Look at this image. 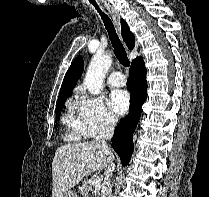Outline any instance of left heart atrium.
I'll return each mask as SVG.
<instances>
[{
    "label": "left heart atrium",
    "instance_id": "39dd6f15",
    "mask_svg": "<svg viewBox=\"0 0 209 197\" xmlns=\"http://www.w3.org/2000/svg\"><path fill=\"white\" fill-rule=\"evenodd\" d=\"M130 104L129 94L124 90H114L112 91L109 99V106L111 110L118 114H124Z\"/></svg>",
    "mask_w": 209,
    "mask_h": 197
}]
</instances>
